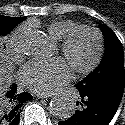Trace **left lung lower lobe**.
Segmentation results:
<instances>
[{"instance_id": "left-lung-lower-lobe-1", "label": "left lung lower lobe", "mask_w": 125, "mask_h": 125, "mask_svg": "<svg viewBox=\"0 0 125 125\" xmlns=\"http://www.w3.org/2000/svg\"><path fill=\"white\" fill-rule=\"evenodd\" d=\"M125 84H114L85 91L78 83V109L59 125H108L121 102Z\"/></svg>"}]
</instances>
